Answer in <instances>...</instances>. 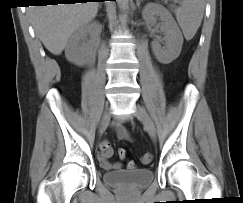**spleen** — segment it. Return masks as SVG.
<instances>
[{"label":"spleen","mask_w":243,"mask_h":203,"mask_svg":"<svg viewBox=\"0 0 243 203\" xmlns=\"http://www.w3.org/2000/svg\"><path fill=\"white\" fill-rule=\"evenodd\" d=\"M172 8L184 37L191 40L203 19L204 0H181V6Z\"/></svg>","instance_id":"obj_1"}]
</instances>
